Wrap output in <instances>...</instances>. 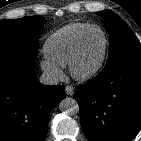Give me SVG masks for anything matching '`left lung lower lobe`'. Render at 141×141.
Here are the masks:
<instances>
[{"label":"left lung lower lobe","instance_id":"left-lung-lower-lobe-1","mask_svg":"<svg viewBox=\"0 0 141 141\" xmlns=\"http://www.w3.org/2000/svg\"><path fill=\"white\" fill-rule=\"evenodd\" d=\"M74 98L90 141H131L141 128V58L106 65Z\"/></svg>","mask_w":141,"mask_h":141}]
</instances>
